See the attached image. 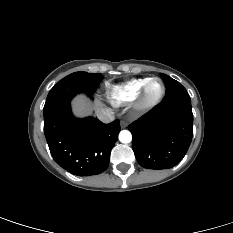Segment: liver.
I'll use <instances>...</instances> for the list:
<instances>
[{
  "label": "liver",
  "mask_w": 233,
  "mask_h": 233,
  "mask_svg": "<svg viewBox=\"0 0 233 233\" xmlns=\"http://www.w3.org/2000/svg\"><path fill=\"white\" fill-rule=\"evenodd\" d=\"M91 108L92 106L90 102L83 95L76 97L73 101V111L78 117H84L90 114ZM95 109L96 111L102 110V105L98 100H96Z\"/></svg>",
  "instance_id": "obj_1"
}]
</instances>
